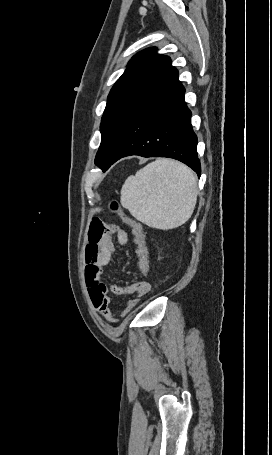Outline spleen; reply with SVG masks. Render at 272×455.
I'll return each instance as SVG.
<instances>
[{"label": "spleen", "instance_id": "3e777b00", "mask_svg": "<svg viewBox=\"0 0 272 455\" xmlns=\"http://www.w3.org/2000/svg\"><path fill=\"white\" fill-rule=\"evenodd\" d=\"M197 194L196 176L189 167L160 158L126 179L121 205L149 227L167 230L189 220Z\"/></svg>", "mask_w": 272, "mask_h": 455}]
</instances>
